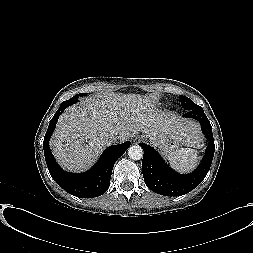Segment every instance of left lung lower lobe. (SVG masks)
<instances>
[{"mask_svg":"<svg viewBox=\"0 0 253 253\" xmlns=\"http://www.w3.org/2000/svg\"><path fill=\"white\" fill-rule=\"evenodd\" d=\"M187 118L197 119L201 129L208 139V147L205 155L197 169L188 175H181L173 171L162 160L158 152L147 144L140 143L144 155L142 160V171L147 187L165 196H181L197 187L207 175L215 151L211 124L201 107L187 110L183 115Z\"/></svg>","mask_w":253,"mask_h":253,"instance_id":"left-lung-lower-lobe-1","label":"left lung lower lobe"}]
</instances>
